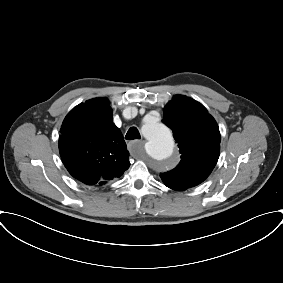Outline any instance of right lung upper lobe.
<instances>
[{
	"mask_svg": "<svg viewBox=\"0 0 283 283\" xmlns=\"http://www.w3.org/2000/svg\"><path fill=\"white\" fill-rule=\"evenodd\" d=\"M112 113L106 99L95 98L74 107L63 121L59 137L62 161L85 184H106L130 166L126 143Z\"/></svg>",
	"mask_w": 283,
	"mask_h": 283,
	"instance_id": "cb5924a9",
	"label": "right lung upper lobe"
}]
</instances>
